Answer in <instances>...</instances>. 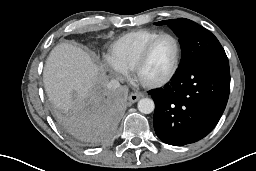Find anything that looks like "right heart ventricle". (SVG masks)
<instances>
[{"mask_svg":"<svg viewBox=\"0 0 256 171\" xmlns=\"http://www.w3.org/2000/svg\"><path fill=\"white\" fill-rule=\"evenodd\" d=\"M160 31L140 29L128 32L112 43L109 48V60L122 70H132L144 47Z\"/></svg>","mask_w":256,"mask_h":171,"instance_id":"right-heart-ventricle-1","label":"right heart ventricle"}]
</instances>
